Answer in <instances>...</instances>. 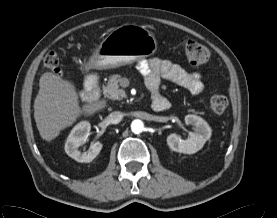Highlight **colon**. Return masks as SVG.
<instances>
[{"label": "colon", "instance_id": "colon-1", "mask_svg": "<svg viewBox=\"0 0 277 218\" xmlns=\"http://www.w3.org/2000/svg\"><path fill=\"white\" fill-rule=\"evenodd\" d=\"M182 47L187 61L194 66L202 65L209 59L208 49L193 40H184ZM44 66L56 75H61L59 57L55 52H49L44 58ZM228 106L226 93L216 91L209 100V109L214 114L223 113Z\"/></svg>", "mask_w": 277, "mask_h": 218}]
</instances>
